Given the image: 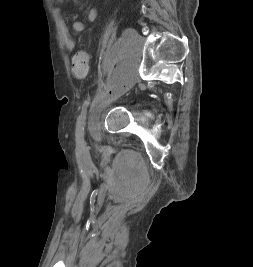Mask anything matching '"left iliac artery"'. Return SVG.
Returning a JSON list of instances; mask_svg holds the SVG:
<instances>
[{"label":"left iliac artery","instance_id":"44dca946","mask_svg":"<svg viewBox=\"0 0 253 267\" xmlns=\"http://www.w3.org/2000/svg\"><path fill=\"white\" fill-rule=\"evenodd\" d=\"M86 115H87V109L84 108V109H82V111H81V113L77 119V123H76V137L80 141H83Z\"/></svg>","mask_w":253,"mask_h":267}]
</instances>
